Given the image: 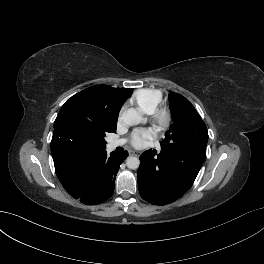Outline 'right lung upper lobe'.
<instances>
[{
	"label": "right lung upper lobe",
	"instance_id": "cb5924a9",
	"mask_svg": "<svg viewBox=\"0 0 264 264\" xmlns=\"http://www.w3.org/2000/svg\"><path fill=\"white\" fill-rule=\"evenodd\" d=\"M83 92L88 93L94 98L108 122L117 123L120 108L132 93V89L96 85L83 90ZM51 153L56 174L58 177H61L66 175L79 160L96 152L72 150L62 143L56 133H53Z\"/></svg>",
	"mask_w": 264,
	"mask_h": 264
}]
</instances>
